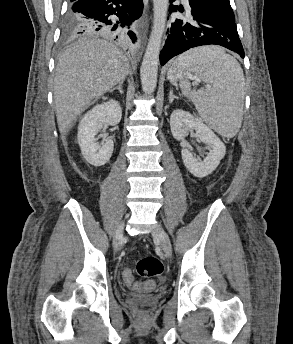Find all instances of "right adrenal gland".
<instances>
[{
  "label": "right adrenal gland",
  "instance_id": "right-adrenal-gland-1",
  "mask_svg": "<svg viewBox=\"0 0 293 344\" xmlns=\"http://www.w3.org/2000/svg\"><path fill=\"white\" fill-rule=\"evenodd\" d=\"M122 85H123V81L120 82V83L118 84L117 87L111 89L110 92L112 93V92H114L115 90H118L121 94H123Z\"/></svg>",
  "mask_w": 293,
  "mask_h": 344
}]
</instances>
